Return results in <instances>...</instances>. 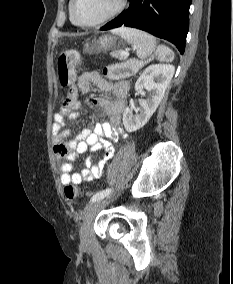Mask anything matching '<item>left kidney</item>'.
I'll return each instance as SVG.
<instances>
[{
  "mask_svg": "<svg viewBox=\"0 0 233 284\" xmlns=\"http://www.w3.org/2000/svg\"><path fill=\"white\" fill-rule=\"evenodd\" d=\"M174 71L175 67L170 64H153L143 71L135 84V90L144 88L150 94L146 100H140V107L135 115L129 107L124 110L123 124L126 131L134 132L149 121L162 101Z\"/></svg>",
  "mask_w": 233,
  "mask_h": 284,
  "instance_id": "obj_1",
  "label": "left kidney"
}]
</instances>
